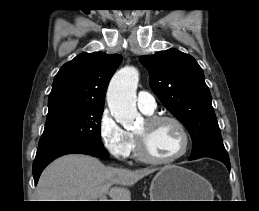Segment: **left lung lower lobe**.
<instances>
[{
  "label": "left lung lower lobe",
  "instance_id": "0a47b994",
  "mask_svg": "<svg viewBox=\"0 0 259 211\" xmlns=\"http://www.w3.org/2000/svg\"><path fill=\"white\" fill-rule=\"evenodd\" d=\"M207 157H211L213 159L219 160L221 162H223L226 167L228 168V170L230 171V162H229V158H222V157H215V156H207ZM192 160V159H189Z\"/></svg>",
  "mask_w": 259,
  "mask_h": 211
}]
</instances>
